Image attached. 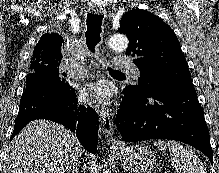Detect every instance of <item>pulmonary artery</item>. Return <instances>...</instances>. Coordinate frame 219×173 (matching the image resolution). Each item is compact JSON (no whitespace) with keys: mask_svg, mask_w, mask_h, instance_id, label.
<instances>
[{"mask_svg":"<svg viewBox=\"0 0 219 173\" xmlns=\"http://www.w3.org/2000/svg\"><path fill=\"white\" fill-rule=\"evenodd\" d=\"M114 69L118 71H124L131 75V77L135 80L141 77L140 71L135 67V65L127 58H115ZM73 75L75 77H82L86 73V69L84 68H74Z\"/></svg>","mask_w":219,"mask_h":173,"instance_id":"pulmonary-artery-1","label":"pulmonary artery"}]
</instances>
